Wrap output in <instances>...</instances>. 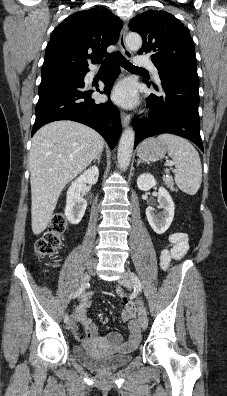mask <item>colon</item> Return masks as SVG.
<instances>
[{
    "label": "colon",
    "mask_w": 227,
    "mask_h": 396,
    "mask_svg": "<svg viewBox=\"0 0 227 396\" xmlns=\"http://www.w3.org/2000/svg\"><path fill=\"white\" fill-rule=\"evenodd\" d=\"M67 229V222L63 214L53 216L48 230L35 243V251L39 257L52 256L60 247ZM125 303L129 301L124 297Z\"/></svg>",
    "instance_id": "5ec220e1"
}]
</instances>
